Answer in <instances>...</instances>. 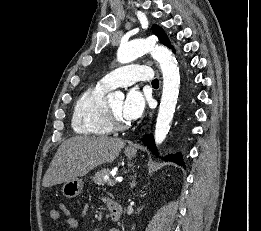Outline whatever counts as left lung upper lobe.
<instances>
[{"label":"left lung upper lobe","mask_w":261,"mask_h":231,"mask_svg":"<svg viewBox=\"0 0 261 231\" xmlns=\"http://www.w3.org/2000/svg\"><path fill=\"white\" fill-rule=\"evenodd\" d=\"M153 33L159 38L160 42L164 45L171 47L170 41L164 33L163 29L157 25H153L152 27ZM175 52V50H173Z\"/></svg>","instance_id":"5c2ea615"}]
</instances>
